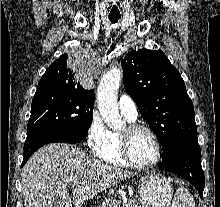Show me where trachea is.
Instances as JSON below:
<instances>
[{"mask_svg": "<svg viewBox=\"0 0 220 207\" xmlns=\"http://www.w3.org/2000/svg\"><path fill=\"white\" fill-rule=\"evenodd\" d=\"M119 19H120L119 17H109V20L111 21L112 24L117 23Z\"/></svg>", "mask_w": 220, "mask_h": 207, "instance_id": "obj_1", "label": "trachea"}]
</instances>
